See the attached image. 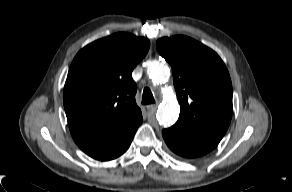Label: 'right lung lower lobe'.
Listing matches in <instances>:
<instances>
[{
    "mask_svg": "<svg viewBox=\"0 0 292 192\" xmlns=\"http://www.w3.org/2000/svg\"><path fill=\"white\" fill-rule=\"evenodd\" d=\"M141 123L118 135L100 139L82 138L75 140V142L82 151L94 159L100 161L112 160L122 155L129 148Z\"/></svg>",
    "mask_w": 292,
    "mask_h": 192,
    "instance_id": "obj_1",
    "label": "right lung lower lobe"
}]
</instances>
